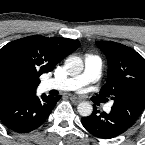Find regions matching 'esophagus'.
<instances>
[{"label":"esophagus","instance_id":"esophagus-1","mask_svg":"<svg viewBox=\"0 0 145 145\" xmlns=\"http://www.w3.org/2000/svg\"><path fill=\"white\" fill-rule=\"evenodd\" d=\"M70 100L72 101V103H74V104H78L79 102L82 101V98L79 97V96H75V95H73V96L70 97Z\"/></svg>","mask_w":145,"mask_h":145}]
</instances>
